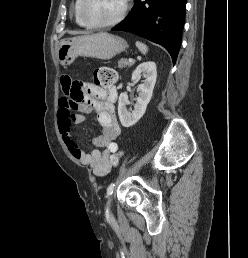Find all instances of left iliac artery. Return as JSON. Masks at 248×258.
Returning a JSON list of instances; mask_svg holds the SVG:
<instances>
[{"mask_svg": "<svg viewBox=\"0 0 248 258\" xmlns=\"http://www.w3.org/2000/svg\"><path fill=\"white\" fill-rule=\"evenodd\" d=\"M114 187H115V184H114V183H111V184L108 186V188H107V197L110 196V195L113 193Z\"/></svg>", "mask_w": 248, "mask_h": 258, "instance_id": "obj_1", "label": "left iliac artery"}]
</instances>
